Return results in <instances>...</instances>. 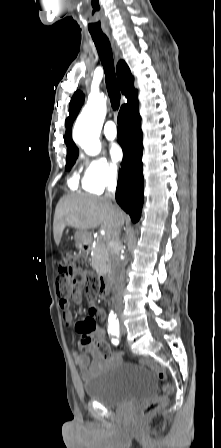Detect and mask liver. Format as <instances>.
Wrapping results in <instances>:
<instances>
[{
  "label": "liver",
  "mask_w": 221,
  "mask_h": 448,
  "mask_svg": "<svg viewBox=\"0 0 221 448\" xmlns=\"http://www.w3.org/2000/svg\"><path fill=\"white\" fill-rule=\"evenodd\" d=\"M125 219V213L105 197L66 195L56 206L54 240L56 245L60 244L66 226L84 231L100 226L110 237Z\"/></svg>",
  "instance_id": "1"
}]
</instances>
